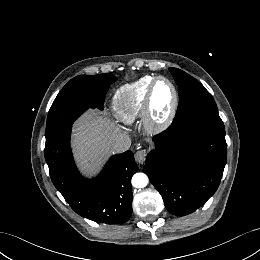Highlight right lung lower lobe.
Wrapping results in <instances>:
<instances>
[{"mask_svg": "<svg viewBox=\"0 0 260 260\" xmlns=\"http://www.w3.org/2000/svg\"><path fill=\"white\" fill-rule=\"evenodd\" d=\"M71 126L45 146V159L57 190L80 216L105 224H122L132 214L131 178L138 167L131 151L111 157L100 175L84 179L70 149Z\"/></svg>", "mask_w": 260, "mask_h": 260, "instance_id": "1", "label": "right lung lower lobe"}]
</instances>
